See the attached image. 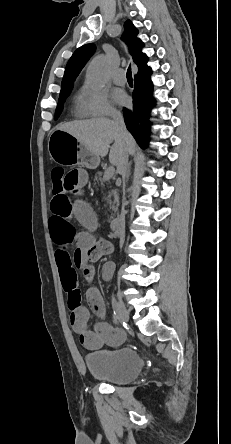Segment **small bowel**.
Segmentation results:
<instances>
[{
  "label": "small bowel",
  "instance_id": "1",
  "mask_svg": "<svg viewBox=\"0 0 231 444\" xmlns=\"http://www.w3.org/2000/svg\"><path fill=\"white\" fill-rule=\"evenodd\" d=\"M88 177V172L82 168L72 169L66 174V187L76 196L73 199L68 196L52 198L49 230L51 239L57 246L55 260L62 286L68 295L70 324L85 348L97 350L104 345H119L125 336L123 331L106 322H98L90 327V310L104 315V300L99 290L90 286L86 291L89 310L82 303L78 288L76 269H80L86 279L91 280L94 274L92 263L113 249L110 243L96 240L90 232L96 224V217L91 206L80 195ZM73 218L85 226L86 230L77 232L72 223ZM112 272L113 265L106 263L102 268L103 278L110 279Z\"/></svg>",
  "mask_w": 231,
  "mask_h": 444
}]
</instances>
